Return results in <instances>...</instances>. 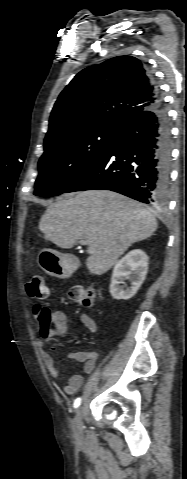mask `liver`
<instances>
[{
	"instance_id": "obj_1",
	"label": "liver",
	"mask_w": 187,
	"mask_h": 479,
	"mask_svg": "<svg viewBox=\"0 0 187 479\" xmlns=\"http://www.w3.org/2000/svg\"><path fill=\"white\" fill-rule=\"evenodd\" d=\"M44 238L63 249L86 240V265L102 275L134 243L151 237L157 229L152 211L139 202L105 190L65 195L51 204L39 222Z\"/></svg>"
}]
</instances>
